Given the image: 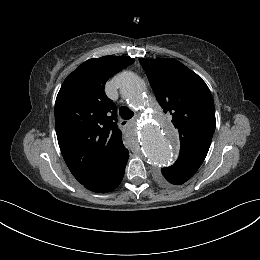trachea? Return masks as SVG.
Wrapping results in <instances>:
<instances>
[{
	"label": "trachea",
	"instance_id": "3493384b",
	"mask_svg": "<svg viewBox=\"0 0 260 260\" xmlns=\"http://www.w3.org/2000/svg\"><path fill=\"white\" fill-rule=\"evenodd\" d=\"M119 114L122 119H131L134 115L133 111H131L129 108L123 106L119 109Z\"/></svg>",
	"mask_w": 260,
	"mask_h": 260
}]
</instances>
